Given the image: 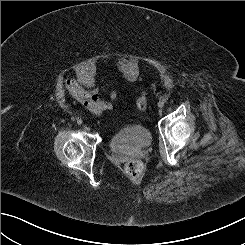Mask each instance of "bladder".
I'll return each instance as SVG.
<instances>
[{"mask_svg":"<svg viewBox=\"0 0 245 245\" xmlns=\"http://www.w3.org/2000/svg\"><path fill=\"white\" fill-rule=\"evenodd\" d=\"M116 154H127L148 148L152 143L151 131L142 122L123 123L109 138Z\"/></svg>","mask_w":245,"mask_h":245,"instance_id":"bladder-1","label":"bladder"}]
</instances>
